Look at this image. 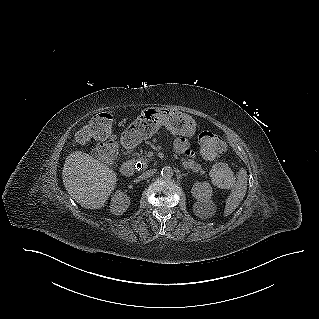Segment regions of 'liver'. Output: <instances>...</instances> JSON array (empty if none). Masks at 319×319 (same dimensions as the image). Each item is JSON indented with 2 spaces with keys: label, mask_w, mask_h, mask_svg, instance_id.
<instances>
[{
  "label": "liver",
  "mask_w": 319,
  "mask_h": 319,
  "mask_svg": "<svg viewBox=\"0 0 319 319\" xmlns=\"http://www.w3.org/2000/svg\"><path fill=\"white\" fill-rule=\"evenodd\" d=\"M62 179L68 194L82 207L104 206L116 187L117 175L106 164L80 150L67 156Z\"/></svg>",
  "instance_id": "6515ba94"
}]
</instances>
